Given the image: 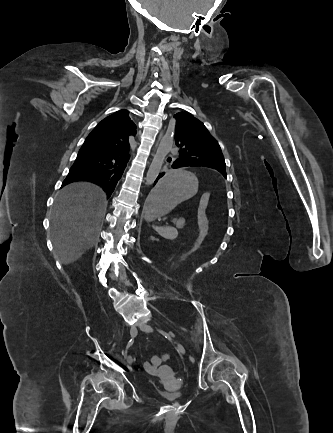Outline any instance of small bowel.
I'll return each instance as SVG.
<instances>
[{
	"mask_svg": "<svg viewBox=\"0 0 333 433\" xmlns=\"http://www.w3.org/2000/svg\"><path fill=\"white\" fill-rule=\"evenodd\" d=\"M145 368H146V370H147L149 373H151V374H156V373L158 372L157 369H155V368H150V367L148 366V364H145Z\"/></svg>",
	"mask_w": 333,
	"mask_h": 433,
	"instance_id": "1",
	"label": "small bowel"
}]
</instances>
